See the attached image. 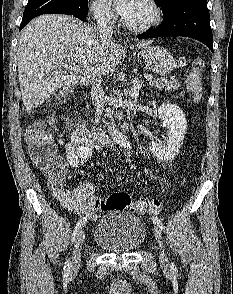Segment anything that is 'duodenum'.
<instances>
[{"mask_svg":"<svg viewBox=\"0 0 233 294\" xmlns=\"http://www.w3.org/2000/svg\"><path fill=\"white\" fill-rule=\"evenodd\" d=\"M75 134L91 147H99L113 144L112 137L104 131L98 129H89L80 121L76 120L74 124Z\"/></svg>","mask_w":233,"mask_h":294,"instance_id":"obj_1","label":"duodenum"}]
</instances>
